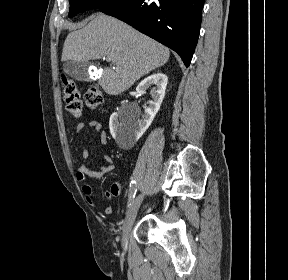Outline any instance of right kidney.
Instances as JSON below:
<instances>
[{
    "label": "right kidney",
    "instance_id": "1",
    "mask_svg": "<svg viewBox=\"0 0 288 280\" xmlns=\"http://www.w3.org/2000/svg\"><path fill=\"white\" fill-rule=\"evenodd\" d=\"M167 82L168 78L165 74L156 73L145 78L136 87L137 93L143 95L147 89L154 85L151 90L152 100L150 105L145 107L141 120L133 117L126 124L118 114L111 116L110 132L121 148H131L151 125L164 99Z\"/></svg>",
    "mask_w": 288,
    "mask_h": 280
}]
</instances>
